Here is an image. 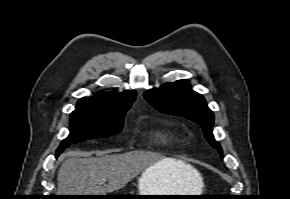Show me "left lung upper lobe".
<instances>
[{"instance_id": "5c2ea615", "label": "left lung upper lobe", "mask_w": 290, "mask_h": 199, "mask_svg": "<svg viewBox=\"0 0 290 199\" xmlns=\"http://www.w3.org/2000/svg\"><path fill=\"white\" fill-rule=\"evenodd\" d=\"M144 98L162 113L183 116L199 124L211 146L222 154L221 146L212 134L213 112L203 96L191 90L188 80H179L148 90L144 93Z\"/></svg>"}]
</instances>
